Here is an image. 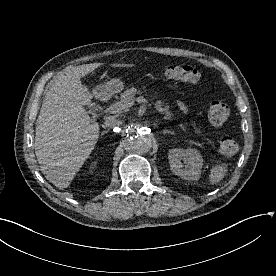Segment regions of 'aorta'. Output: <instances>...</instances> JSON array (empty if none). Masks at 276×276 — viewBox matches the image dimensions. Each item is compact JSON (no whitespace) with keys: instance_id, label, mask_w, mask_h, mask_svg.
Masks as SVG:
<instances>
[{"instance_id":"obj_1","label":"aorta","mask_w":276,"mask_h":276,"mask_svg":"<svg viewBox=\"0 0 276 276\" xmlns=\"http://www.w3.org/2000/svg\"><path fill=\"white\" fill-rule=\"evenodd\" d=\"M126 149L132 153L144 154L152 148V137L135 125H128L123 130Z\"/></svg>"}]
</instances>
